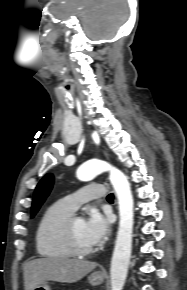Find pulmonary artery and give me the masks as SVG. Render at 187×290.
<instances>
[{"instance_id": "e3ab8cb5", "label": "pulmonary artery", "mask_w": 187, "mask_h": 290, "mask_svg": "<svg viewBox=\"0 0 187 290\" xmlns=\"http://www.w3.org/2000/svg\"><path fill=\"white\" fill-rule=\"evenodd\" d=\"M106 194L104 186L99 184H88L65 196L62 201L73 211H75L82 203L95 199L102 198Z\"/></svg>"}]
</instances>
